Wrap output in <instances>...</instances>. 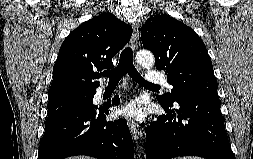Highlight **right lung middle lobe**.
<instances>
[{
	"label": "right lung middle lobe",
	"mask_w": 253,
	"mask_h": 159,
	"mask_svg": "<svg viewBox=\"0 0 253 159\" xmlns=\"http://www.w3.org/2000/svg\"><path fill=\"white\" fill-rule=\"evenodd\" d=\"M94 94L95 93H88L49 101L48 117L45 122V126L75 109L92 106Z\"/></svg>",
	"instance_id": "obj_1"
}]
</instances>
